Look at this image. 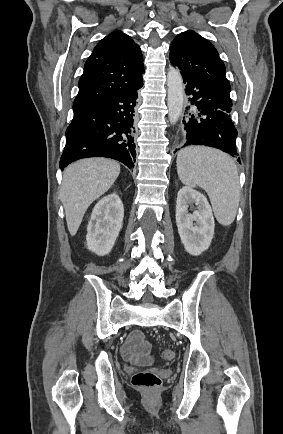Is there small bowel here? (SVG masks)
<instances>
[{"mask_svg": "<svg viewBox=\"0 0 283 434\" xmlns=\"http://www.w3.org/2000/svg\"><path fill=\"white\" fill-rule=\"evenodd\" d=\"M151 345L140 330L132 331L120 348L123 359L133 364L145 366L151 363Z\"/></svg>", "mask_w": 283, "mask_h": 434, "instance_id": "small-bowel-1", "label": "small bowel"}]
</instances>
